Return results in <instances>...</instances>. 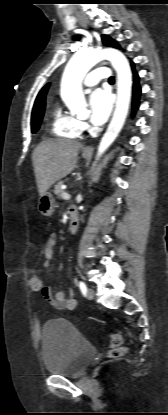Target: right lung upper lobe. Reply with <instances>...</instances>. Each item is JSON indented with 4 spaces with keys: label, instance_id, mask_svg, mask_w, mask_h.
<instances>
[{
    "label": "right lung upper lobe",
    "instance_id": "right-lung-upper-lobe-1",
    "mask_svg": "<svg viewBox=\"0 0 168 415\" xmlns=\"http://www.w3.org/2000/svg\"><path fill=\"white\" fill-rule=\"evenodd\" d=\"M48 88H49V84H47L40 91V93L38 94V96H37V98L35 100V104H34V107H33V111L32 112L37 111V110L42 109V108H45V96H46V93H47Z\"/></svg>",
    "mask_w": 168,
    "mask_h": 415
}]
</instances>
